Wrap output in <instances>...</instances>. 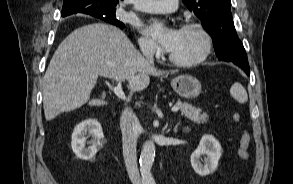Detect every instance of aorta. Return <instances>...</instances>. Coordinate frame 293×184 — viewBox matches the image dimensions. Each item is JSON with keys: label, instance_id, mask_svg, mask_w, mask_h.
<instances>
[{"label": "aorta", "instance_id": "aorta-1", "mask_svg": "<svg viewBox=\"0 0 293 184\" xmlns=\"http://www.w3.org/2000/svg\"><path fill=\"white\" fill-rule=\"evenodd\" d=\"M155 157V144L152 141H146L143 144L140 155V171L143 184H155L151 173V168Z\"/></svg>", "mask_w": 293, "mask_h": 184}]
</instances>
